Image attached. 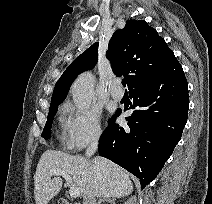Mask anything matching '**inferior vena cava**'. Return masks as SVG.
I'll return each instance as SVG.
<instances>
[{
	"mask_svg": "<svg viewBox=\"0 0 212 204\" xmlns=\"http://www.w3.org/2000/svg\"><path fill=\"white\" fill-rule=\"evenodd\" d=\"M99 136H100L99 134H96L92 138V140L85 152L86 157H88V158L91 157L97 150ZM95 202H96L95 195L93 193H88L87 195H85L83 197V204H96Z\"/></svg>",
	"mask_w": 212,
	"mask_h": 204,
	"instance_id": "1",
	"label": "inferior vena cava"
}]
</instances>
